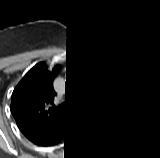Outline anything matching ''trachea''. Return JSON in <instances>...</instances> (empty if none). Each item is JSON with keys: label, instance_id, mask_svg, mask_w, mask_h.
Instances as JSON below:
<instances>
[{"label": "trachea", "instance_id": "trachea-1", "mask_svg": "<svg viewBox=\"0 0 160 158\" xmlns=\"http://www.w3.org/2000/svg\"><path fill=\"white\" fill-rule=\"evenodd\" d=\"M65 108L76 106L77 108L88 109V106L85 102L79 100L76 97H67L65 103L63 104Z\"/></svg>", "mask_w": 160, "mask_h": 158}]
</instances>
